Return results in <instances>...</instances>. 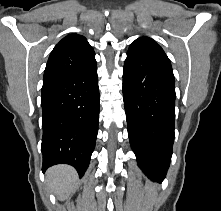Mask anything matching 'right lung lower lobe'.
<instances>
[{"mask_svg":"<svg viewBox=\"0 0 221 211\" xmlns=\"http://www.w3.org/2000/svg\"><path fill=\"white\" fill-rule=\"evenodd\" d=\"M42 170L69 164L83 176L95 147L99 122L97 66L43 82Z\"/></svg>","mask_w":221,"mask_h":211,"instance_id":"98d812e1","label":"right lung lower lobe"}]
</instances>
